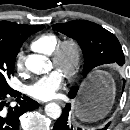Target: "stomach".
Returning a JSON list of instances; mask_svg holds the SVG:
<instances>
[{"mask_svg": "<svg viewBox=\"0 0 130 130\" xmlns=\"http://www.w3.org/2000/svg\"><path fill=\"white\" fill-rule=\"evenodd\" d=\"M115 94L111 77L104 71H97L83 87L76 104L75 114L85 121H94L110 110Z\"/></svg>", "mask_w": 130, "mask_h": 130, "instance_id": "stomach-1", "label": "stomach"}]
</instances>
